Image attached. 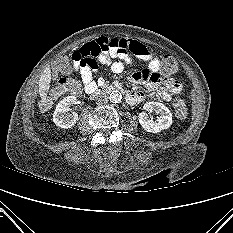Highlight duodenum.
Instances as JSON below:
<instances>
[{
    "label": "duodenum",
    "instance_id": "duodenum-1",
    "mask_svg": "<svg viewBox=\"0 0 233 233\" xmlns=\"http://www.w3.org/2000/svg\"><path fill=\"white\" fill-rule=\"evenodd\" d=\"M114 91H120L122 92L126 97L129 95V92L126 91L124 88L118 86V85H112V84H101L95 88V90L92 92L94 95H104L109 94Z\"/></svg>",
    "mask_w": 233,
    "mask_h": 233
}]
</instances>
